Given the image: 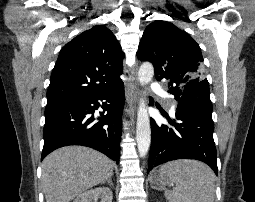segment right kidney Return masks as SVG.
Listing matches in <instances>:
<instances>
[{
	"label": "right kidney",
	"instance_id": "1",
	"mask_svg": "<svg viewBox=\"0 0 255 202\" xmlns=\"http://www.w3.org/2000/svg\"><path fill=\"white\" fill-rule=\"evenodd\" d=\"M112 192L105 187H98L81 193L73 202H112Z\"/></svg>",
	"mask_w": 255,
	"mask_h": 202
}]
</instances>
